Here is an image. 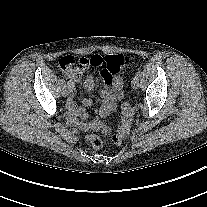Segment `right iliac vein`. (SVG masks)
<instances>
[{
    "instance_id": "63e3f726",
    "label": "right iliac vein",
    "mask_w": 207,
    "mask_h": 207,
    "mask_svg": "<svg viewBox=\"0 0 207 207\" xmlns=\"http://www.w3.org/2000/svg\"><path fill=\"white\" fill-rule=\"evenodd\" d=\"M69 93H70V89L67 88V87H63V89H62V96L63 97H68Z\"/></svg>"
}]
</instances>
